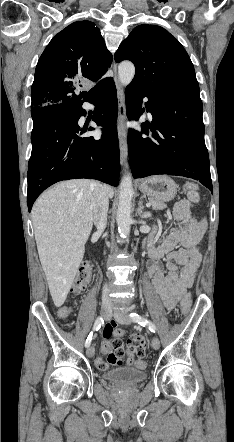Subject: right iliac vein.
Masks as SVG:
<instances>
[{"label":"right iliac vein","instance_id":"1","mask_svg":"<svg viewBox=\"0 0 234 442\" xmlns=\"http://www.w3.org/2000/svg\"><path fill=\"white\" fill-rule=\"evenodd\" d=\"M101 314L104 317L105 320H108L110 318L111 314V304L109 301L104 300L102 302V310ZM86 354L88 357L92 358L95 355V348L93 345H90L87 347Z\"/></svg>","mask_w":234,"mask_h":442}]
</instances>
